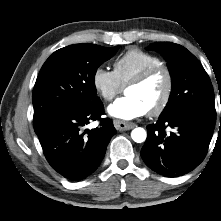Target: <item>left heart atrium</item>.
Listing matches in <instances>:
<instances>
[{"instance_id": "left-heart-atrium-1", "label": "left heart atrium", "mask_w": 221, "mask_h": 221, "mask_svg": "<svg viewBox=\"0 0 221 221\" xmlns=\"http://www.w3.org/2000/svg\"><path fill=\"white\" fill-rule=\"evenodd\" d=\"M111 116L121 120H132L147 114L145 104L136 97L125 96L117 99L108 107Z\"/></svg>"}]
</instances>
